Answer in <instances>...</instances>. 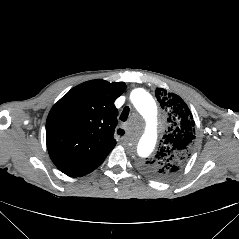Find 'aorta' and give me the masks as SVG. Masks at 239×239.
I'll return each mask as SVG.
<instances>
[{"label": "aorta", "mask_w": 239, "mask_h": 239, "mask_svg": "<svg viewBox=\"0 0 239 239\" xmlns=\"http://www.w3.org/2000/svg\"><path fill=\"white\" fill-rule=\"evenodd\" d=\"M130 99L134 107L146 121L141 140L133 145L137 155L140 158H145L152 152L155 145L156 134L159 130L157 122L154 121L157 115L156 103L152 96L141 88L133 90Z\"/></svg>", "instance_id": "obj_1"}]
</instances>
